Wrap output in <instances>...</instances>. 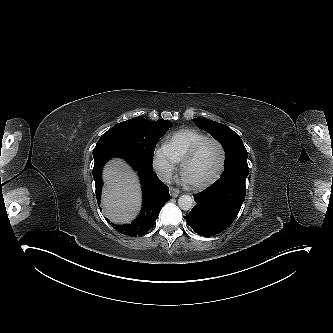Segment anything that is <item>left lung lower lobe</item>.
I'll use <instances>...</instances> for the list:
<instances>
[{
	"mask_svg": "<svg viewBox=\"0 0 333 333\" xmlns=\"http://www.w3.org/2000/svg\"><path fill=\"white\" fill-rule=\"evenodd\" d=\"M245 194V184L218 179L207 190L193 196L197 204L184 219L201 236L221 233L235 220Z\"/></svg>",
	"mask_w": 333,
	"mask_h": 333,
	"instance_id": "obj_1",
	"label": "left lung lower lobe"
}]
</instances>
